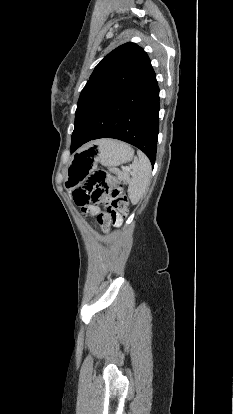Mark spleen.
Returning <instances> with one entry per match:
<instances>
[{
    "mask_svg": "<svg viewBox=\"0 0 233 414\" xmlns=\"http://www.w3.org/2000/svg\"><path fill=\"white\" fill-rule=\"evenodd\" d=\"M137 155L132 163V178L128 186V195L134 205L145 195L151 178V163L148 157L141 151H137Z\"/></svg>",
    "mask_w": 233,
    "mask_h": 414,
    "instance_id": "obj_1",
    "label": "spleen"
}]
</instances>
